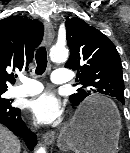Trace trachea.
<instances>
[{"instance_id": "1", "label": "trachea", "mask_w": 130, "mask_h": 153, "mask_svg": "<svg viewBox=\"0 0 130 153\" xmlns=\"http://www.w3.org/2000/svg\"><path fill=\"white\" fill-rule=\"evenodd\" d=\"M35 59L37 63L35 73L37 75H42L47 67V52L45 47H40L37 49Z\"/></svg>"}]
</instances>
